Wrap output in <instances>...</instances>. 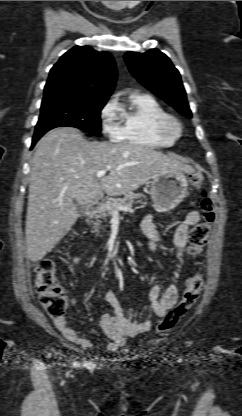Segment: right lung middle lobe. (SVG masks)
<instances>
[{
    "label": "right lung middle lobe",
    "instance_id": "right-lung-middle-lobe-1",
    "mask_svg": "<svg viewBox=\"0 0 242 416\" xmlns=\"http://www.w3.org/2000/svg\"><path fill=\"white\" fill-rule=\"evenodd\" d=\"M106 98H86L70 95L44 97L34 136H42L50 129L70 126L92 134L101 131L100 112Z\"/></svg>",
    "mask_w": 242,
    "mask_h": 416
}]
</instances>
